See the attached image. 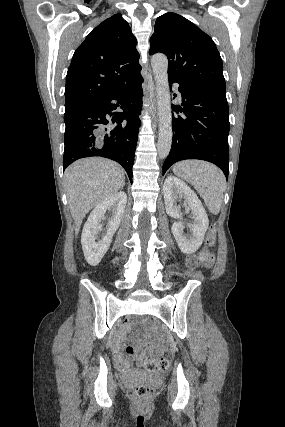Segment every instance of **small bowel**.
Returning <instances> with one entry per match:
<instances>
[{
	"mask_svg": "<svg viewBox=\"0 0 285 427\" xmlns=\"http://www.w3.org/2000/svg\"><path fill=\"white\" fill-rule=\"evenodd\" d=\"M195 262V258H189L188 263L192 264ZM134 353H139L138 350L133 349ZM114 361L121 370L127 372L129 371V363L123 360L121 345L119 343H115L112 349Z\"/></svg>",
	"mask_w": 285,
	"mask_h": 427,
	"instance_id": "small-bowel-1",
	"label": "small bowel"
}]
</instances>
